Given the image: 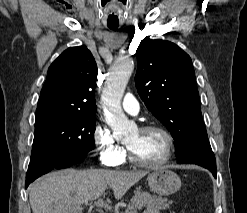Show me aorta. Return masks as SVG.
I'll return each instance as SVG.
<instances>
[{"instance_id":"obj_1","label":"aorta","mask_w":247,"mask_h":213,"mask_svg":"<svg viewBox=\"0 0 247 213\" xmlns=\"http://www.w3.org/2000/svg\"><path fill=\"white\" fill-rule=\"evenodd\" d=\"M132 72L131 58L119 60L111 68L102 91L101 101L105 119L116 136L126 135L135 129V124L128 120L121 107V100Z\"/></svg>"}]
</instances>
